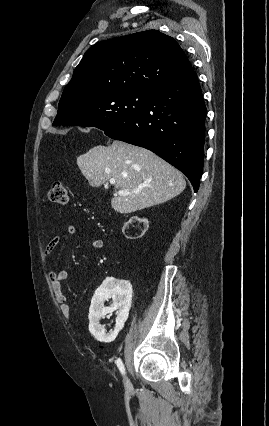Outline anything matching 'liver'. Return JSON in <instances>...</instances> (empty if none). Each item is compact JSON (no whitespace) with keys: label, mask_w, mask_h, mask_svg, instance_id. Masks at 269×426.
Here are the masks:
<instances>
[{"label":"liver","mask_w":269,"mask_h":426,"mask_svg":"<svg viewBox=\"0 0 269 426\" xmlns=\"http://www.w3.org/2000/svg\"><path fill=\"white\" fill-rule=\"evenodd\" d=\"M77 165L92 187L115 179V188L130 192L114 194L112 208L128 214L178 196L186 188L182 173L153 152L115 140L98 145L77 157Z\"/></svg>","instance_id":"obj_1"}]
</instances>
